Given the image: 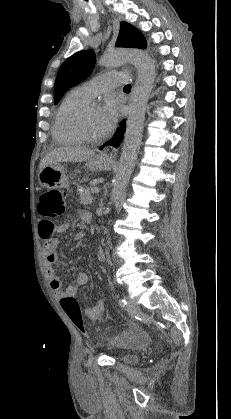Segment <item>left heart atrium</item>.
I'll list each match as a JSON object with an SVG mask.
<instances>
[{"label": "left heart atrium", "mask_w": 231, "mask_h": 419, "mask_svg": "<svg viewBox=\"0 0 231 419\" xmlns=\"http://www.w3.org/2000/svg\"><path fill=\"white\" fill-rule=\"evenodd\" d=\"M119 115V105L114 98H108L98 112V118L104 134L115 126Z\"/></svg>", "instance_id": "1"}]
</instances>
